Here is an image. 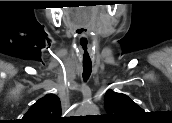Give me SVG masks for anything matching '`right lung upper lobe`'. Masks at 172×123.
Segmentation results:
<instances>
[{
  "instance_id": "1",
  "label": "right lung upper lobe",
  "mask_w": 172,
  "mask_h": 123,
  "mask_svg": "<svg viewBox=\"0 0 172 123\" xmlns=\"http://www.w3.org/2000/svg\"><path fill=\"white\" fill-rule=\"evenodd\" d=\"M25 123H61V103L55 94H48L33 104L22 118Z\"/></svg>"
}]
</instances>
